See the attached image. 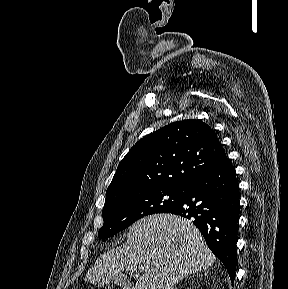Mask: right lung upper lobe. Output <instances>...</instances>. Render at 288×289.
Segmentation results:
<instances>
[{
    "instance_id": "cb5924a9",
    "label": "right lung upper lobe",
    "mask_w": 288,
    "mask_h": 289,
    "mask_svg": "<svg viewBox=\"0 0 288 289\" xmlns=\"http://www.w3.org/2000/svg\"><path fill=\"white\" fill-rule=\"evenodd\" d=\"M225 156L215 132L200 120L171 123L139 140L119 163L106 191L184 188Z\"/></svg>"
}]
</instances>
